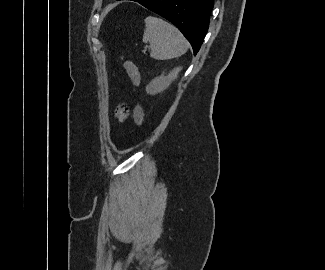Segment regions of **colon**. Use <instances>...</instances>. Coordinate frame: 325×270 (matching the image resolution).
<instances>
[{
  "mask_svg": "<svg viewBox=\"0 0 325 270\" xmlns=\"http://www.w3.org/2000/svg\"><path fill=\"white\" fill-rule=\"evenodd\" d=\"M124 68L129 76L130 80L132 81L133 85L136 87L139 86L140 74H139V71H138L136 65L132 61L126 59L124 61ZM133 116H134V121H135L136 125L141 126V124L143 123V120H144V112H143L141 105L138 103H136V105H135Z\"/></svg>",
  "mask_w": 325,
  "mask_h": 270,
  "instance_id": "colon-1",
  "label": "colon"
}]
</instances>
